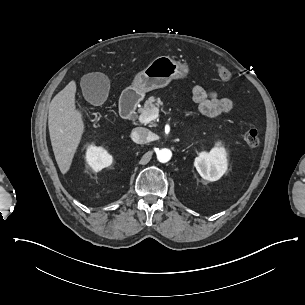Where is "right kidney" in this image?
<instances>
[{"label":"right kidney","instance_id":"1","mask_svg":"<svg viewBox=\"0 0 305 305\" xmlns=\"http://www.w3.org/2000/svg\"><path fill=\"white\" fill-rule=\"evenodd\" d=\"M86 163L94 171L99 172L113 162V157L103 147L88 145L85 155Z\"/></svg>","mask_w":305,"mask_h":305}]
</instances>
